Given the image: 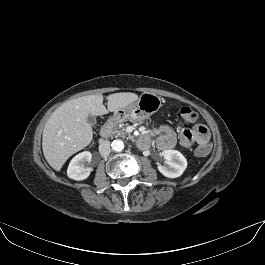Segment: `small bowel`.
<instances>
[{"mask_svg":"<svg viewBox=\"0 0 265 265\" xmlns=\"http://www.w3.org/2000/svg\"><path fill=\"white\" fill-rule=\"evenodd\" d=\"M155 134H159L157 145L160 149L168 150L176 145L177 136L170 127L161 126L144 135L148 141V145L150 137ZM179 139L181 144L185 147L192 146L194 142H197L199 145H205L209 141V132L203 124H196L192 129H184L180 133Z\"/></svg>","mask_w":265,"mask_h":265,"instance_id":"obj_1","label":"small bowel"}]
</instances>
